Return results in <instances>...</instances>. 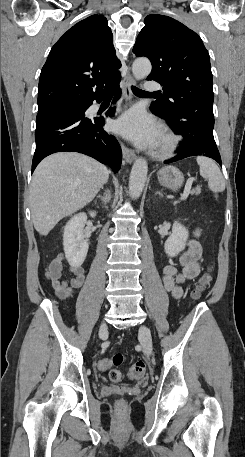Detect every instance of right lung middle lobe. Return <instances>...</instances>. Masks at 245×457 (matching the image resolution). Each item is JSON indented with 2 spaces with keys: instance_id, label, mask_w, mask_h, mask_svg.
<instances>
[{
  "instance_id": "dd1d6c3e",
  "label": "right lung middle lobe",
  "mask_w": 245,
  "mask_h": 457,
  "mask_svg": "<svg viewBox=\"0 0 245 457\" xmlns=\"http://www.w3.org/2000/svg\"><path fill=\"white\" fill-rule=\"evenodd\" d=\"M74 102H77V101H70V102L64 103L63 105H66V104H69V103H74Z\"/></svg>"
}]
</instances>
